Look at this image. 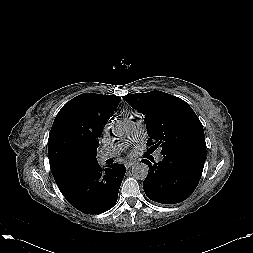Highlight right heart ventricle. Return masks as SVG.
<instances>
[{
  "instance_id": "right-heart-ventricle-1",
  "label": "right heart ventricle",
  "mask_w": 253,
  "mask_h": 253,
  "mask_svg": "<svg viewBox=\"0 0 253 253\" xmlns=\"http://www.w3.org/2000/svg\"><path fill=\"white\" fill-rule=\"evenodd\" d=\"M135 114H133L132 112L130 111H125V118H130V117H134Z\"/></svg>"
}]
</instances>
